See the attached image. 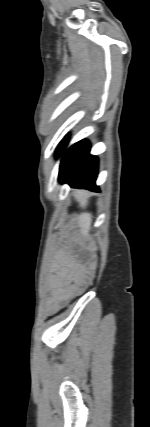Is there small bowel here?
<instances>
[{
	"label": "small bowel",
	"mask_w": 150,
	"mask_h": 427,
	"mask_svg": "<svg viewBox=\"0 0 150 427\" xmlns=\"http://www.w3.org/2000/svg\"><path fill=\"white\" fill-rule=\"evenodd\" d=\"M77 287V282L70 275L56 277L51 287L50 310L58 309L61 303L66 302L77 291Z\"/></svg>",
	"instance_id": "c3829d8e"
}]
</instances>
